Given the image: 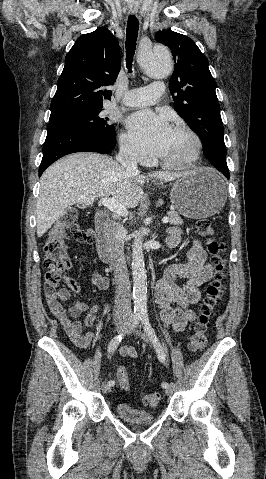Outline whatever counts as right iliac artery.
I'll return each mask as SVG.
<instances>
[{
    "label": "right iliac artery",
    "instance_id": "1",
    "mask_svg": "<svg viewBox=\"0 0 266 479\" xmlns=\"http://www.w3.org/2000/svg\"><path fill=\"white\" fill-rule=\"evenodd\" d=\"M141 320V315L140 314H135L132 318V324H131V329H134L140 322ZM125 334L121 333L117 336H115L109 343L108 345V352L110 354L114 353V351L116 350V348L118 347V345L120 344V342L122 341V339L124 338ZM108 384L110 386H114L115 385V381L114 380H110L108 382Z\"/></svg>",
    "mask_w": 266,
    "mask_h": 479
}]
</instances>
